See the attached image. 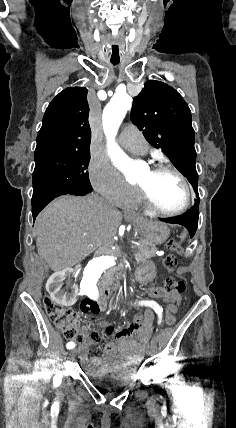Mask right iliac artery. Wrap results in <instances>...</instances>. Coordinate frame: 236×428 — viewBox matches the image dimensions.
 Returning <instances> with one entry per match:
<instances>
[{
  "instance_id": "1",
  "label": "right iliac artery",
  "mask_w": 236,
  "mask_h": 428,
  "mask_svg": "<svg viewBox=\"0 0 236 428\" xmlns=\"http://www.w3.org/2000/svg\"><path fill=\"white\" fill-rule=\"evenodd\" d=\"M79 295H84V293L80 292ZM75 347V343L69 342L67 344V349H73Z\"/></svg>"
}]
</instances>
